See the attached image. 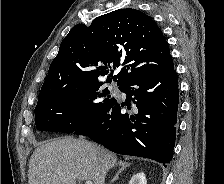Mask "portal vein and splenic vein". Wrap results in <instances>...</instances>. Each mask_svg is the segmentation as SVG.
I'll list each match as a JSON object with an SVG mask.
<instances>
[{
    "mask_svg": "<svg viewBox=\"0 0 224 184\" xmlns=\"http://www.w3.org/2000/svg\"><path fill=\"white\" fill-rule=\"evenodd\" d=\"M85 184H93V183H92V181L87 180V181L85 182Z\"/></svg>",
    "mask_w": 224,
    "mask_h": 184,
    "instance_id": "18ae733b",
    "label": "portal vein and splenic vein"
}]
</instances>
